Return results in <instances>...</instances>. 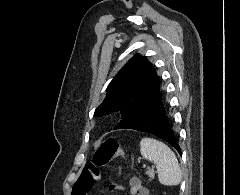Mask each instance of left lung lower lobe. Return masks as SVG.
Masks as SVG:
<instances>
[{"instance_id": "obj_1", "label": "left lung lower lobe", "mask_w": 240, "mask_h": 195, "mask_svg": "<svg viewBox=\"0 0 240 195\" xmlns=\"http://www.w3.org/2000/svg\"><path fill=\"white\" fill-rule=\"evenodd\" d=\"M122 128L134 129L154 134L169 142L181 155L177 138L171 130L170 122L166 115L165 107L162 103V95L160 91L129 123L124 125Z\"/></svg>"}]
</instances>
